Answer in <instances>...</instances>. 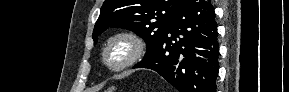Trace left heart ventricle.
I'll return each mask as SVG.
<instances>
[{"mask_svg":"<svg viewBox=\"0 0 289 92\" xmlns=\"http://www.w3.org/2000/svg\"><path fill=\"white\" fill-rule=\"evenodd\" d=\"M128 45L123 41H118L113 44L110 51V59L113 63L121 61L128 53Z\"/></svg>","mask_w":289,"mask_h":92,"instance_id":"obj_1","label":"left heart ventricle"}]
</instances>
